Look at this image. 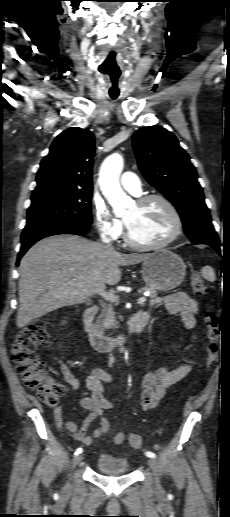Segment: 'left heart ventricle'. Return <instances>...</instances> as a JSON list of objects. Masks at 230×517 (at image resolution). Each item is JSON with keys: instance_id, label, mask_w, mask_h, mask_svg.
<instances>
[{"instance_id": "left-heart-ventricle-1", "label": "left heart ventricle", "mask_w": 230, "mask_h": 517, "mask_svg": "<svg viewBox=\"0 0 230 517\" xmlns=\"http://www.w3.org/2000/svg\"><path fill=\"white\" fill-rule=\"evenodd\" d=\"M131 235L141 243H157L168 237L174 227L168 209L159 201L133 205L124 215Z\"/></svg>"}]
</instances>
